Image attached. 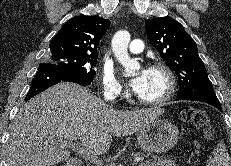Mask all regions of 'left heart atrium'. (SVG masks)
I'll use <instances>...</instances> for the list:
<instances>
[{
	"label": "left heart atrium",
	"instance_id": "left-heart-atrium-1",
	"mask_svg": "<svg viewBox=\"0 0 231 166\" xmlns=\"http://www.w3.org/2000/svg\"><path fill=\"white\" fill-rule=\"evenodd\" d=\"M147 78H148V70L143 69L140 72H138L129 82L132 90L134 91V93H136L137 95H139L147 82Z\"/></svg>",
	"mask_w": 231,
	"mask_h": 166
}]
</instances>
